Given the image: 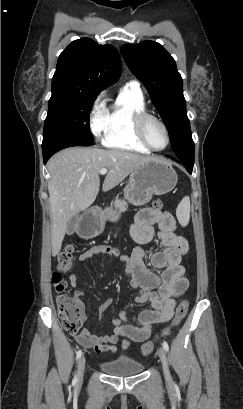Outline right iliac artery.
I'll return each mask as SVG.
<instances>
[{
	"mask_svg": "<svg viewBox=\"0 0 243 409\" xmlns=\"http://www.w3.org/2000/svg\"><path fill=\"white\" fill-rule=\"evenodd\" d=\"M81 355H82V351L79 350V351L77 352V354H76V359L79 360L80 357H81ZM76 383H77V378H76V376H75L74 379H73V384H76Z\"/></svg>",
	"mask_w": 243,
	"mask_h": 409,
	"instance_id": "1",
	"label": "right iliac artery"
}]
</instances>
